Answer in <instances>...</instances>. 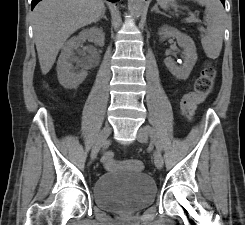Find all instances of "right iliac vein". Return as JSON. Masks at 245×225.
I'll return each mask as SVG.
<instances>
[{
    "instance_id": "1",
    "label": "right iliac vein",
    "mask_w": 245,
    "mask_h": 225,
    "mask_svg": "<svg viewBox=\"0 0 245 225\" xmlns=\"http://www.w3.org/2000/svg\"><path fill=\"white\" fill-rule=\"evenodd\" d=\"M111 134V128L106 126L100 132L91 151V159L94 160L101 148H105L109 143V136Z\"/></svg>"
}]
</instances>
